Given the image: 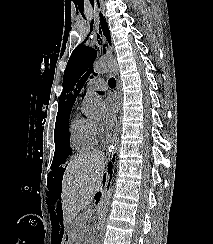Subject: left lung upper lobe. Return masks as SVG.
Listing matches in <instances>:
<instances>
[{
	"instance_id": "left-lung-upper-lobe-1",
	"label": "left lung upper lobe",
	"mask_w": 213,
	"mask_h": 244,
	"mask_svg": "<svg viewBox=\"0 0 213 244\" xmlns=\"http://www.w3.org/2000/svg\"><path fill=\"white\" fill-rule=\"evenodd\" d=\"M98 44L101 43L98 41ZM96 49L97 46L90 48L82 43L72 52L64 72L59 111L66 110L75 101L91 73L90 66L97 57Z\"/></svg>"
}]
</instances>
